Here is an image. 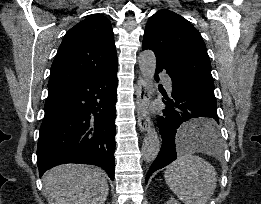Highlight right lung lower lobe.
<instances>
[{
    "label": "right lung lower lobe",
    "instance_id": "98d812e1",
    "mask_svg": "<svg viewBox=\"0 0 261 204\" xmlns=\"http://www.w3.org/2000/svg\"><path fill=\"white\" fill-rule=\"evenodd\" d=\"M117 67L48 89L40 127V176L59 164L102 167L114 180Z\"/></svg>",
    "mask_w": 261,
    "mask_h": 204
}]
</instances>
